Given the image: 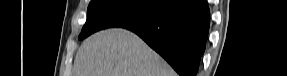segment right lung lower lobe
<instances>
[{
	"instance_id": "right-lung-lower-lobe-1",
	"label": "right lung lower lobe",
	"mask_w": 287,
	"mask_h": 76,
	"mask_svg": "<svg viewBox=\"0 0 287 76\" xmlns=\"http://www.w3.org/2000/svg\"><path fill=\"white\" fill-rule=\"evenodd\" d=\"M209 22L207 0H168L151 19L127 29L140 36L180 76H196Z\"/></svg>"
}]
</instances>
